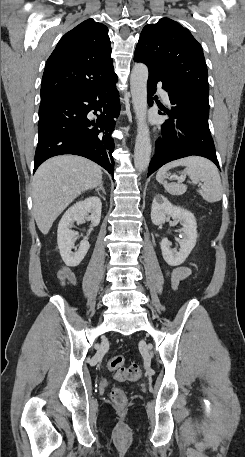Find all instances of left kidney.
I'll return each instance as SVG.
<instances>
[{
  "mask_svg": "<svg viewBox=\"0 0 245 457\" xmlns=\"http://www.w3.org/2000/svg\"><path fill=\"white\" fill-rule=\"evenodd\" d=\"M169 216L174 218L175 222L182 224L180 239H176L180 245V249H171L172 243L168 239H162L161 251L164 261L170 267H178L182 265L192 249H194L197 241V222L194 214L181 206H174L165 198L163 194H155L151 208V220L153 224H163Z\"/></svg>",
  "mask_w": 245,
  "mask_h": 457,
  "instance_id": "obj_1",
  "label": "left kidney"
}]
</instances>
